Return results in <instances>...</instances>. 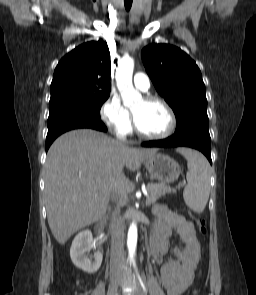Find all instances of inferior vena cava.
<instances>
[{"label": "inferior vena cava", "instance_id": "602c4592", "mask_svg": "<svg viewBox=\"0 0 256 295\" xmlns=\"http://www.w3.org/2000/svg\"><path fill=\"white\" fill-rule=\"evenodd\" d=\"M114 198L121 195L119 188H113ZM120 207L115 206L112 211L111 224V273L121 272L124 259V228L120 217Z\"/></svg>", "mask_w": 256, "mask_h": 295}]
</instances>
